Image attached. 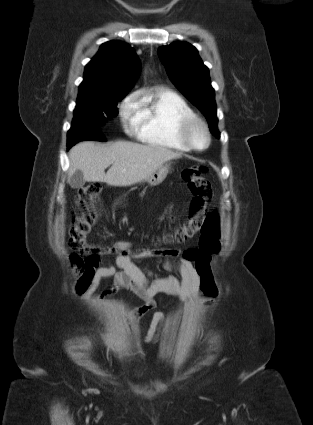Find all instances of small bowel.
<instances>
[{
  "label": "small bowel",
  "mask_w": 313,
  "mask_h": 425,
  "mask_svg": "<svg viewBox=\"0 0 313 425\" xmlns=\"http://www.w3.org/2000/svg\"><path fill=\"white\" fill-rule=\"evenodd\" d=\"M113 248L120 252L115 261L119 270L117 271L113 265L98 267V260L93 269L86 272L80 280L79 290L85 301L97 290L101 281L107 278H112L113 284L100 293V298L104 299L116 295L122 290L134 293L144 302L136 312L137 317L157 308L154 297L160 293L183 301L197 300L201 297L199 274L193 263L185 259L183 255L177 262L164 261L163 268L169 274L162 276L139 267L133 262V258H147L157 253L151 251L133 253L130 251L128 242H117ZM163 254L177 257L180 255V251L168 250ZM163 323L164 314L155 311L143 342H155L159 337Z\"/></svg>",
  "instance_id": "obj_1"
}]
</instances>
